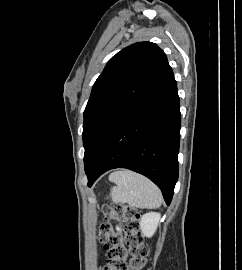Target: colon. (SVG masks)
Segmentation results:
<instances>
[{"instance_id":"colon-1","label":"colon","mask_w":242,"mask_h":270,"mask_svg":"<svg viewBox=\"0 0 242 270\" xmlns=\"http://www.w3.org/2000/svg\"><path fill=\"white\" fill-rule=\"evenodd\" d=\"M105 218L122 223L123 233L115 232L109 223L100 227V242L108 260L99 270H142L147 262L149 248L139 228V212L129 206L114 203L102 208Z\"/></svg>"}]
</instances>
